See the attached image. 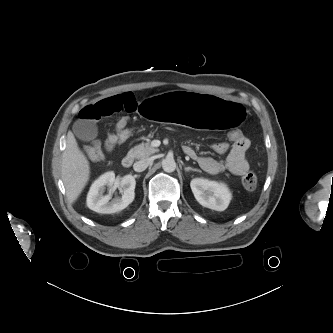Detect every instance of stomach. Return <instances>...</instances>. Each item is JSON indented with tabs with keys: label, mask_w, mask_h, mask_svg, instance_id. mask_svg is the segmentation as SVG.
I'll return each mask as SVG.
<instances>
[{
	"label": "stomach",
	"mask_w": 333,
	"mask_h": 333,
	"mask_svg": "<svg viewBox=\"0 0 333 333\" xmlns=\"http://www.w3.org/2000/svg\"><path fill=\"white\" fill-rule=\"evenodd\" d=\"M142 104L139 112L149 121L212 133L240 128L248 117L243 104L201 92L156 93Z\"/></svg>",
	"instance_id": "0dacf381"
}]
</instances>
